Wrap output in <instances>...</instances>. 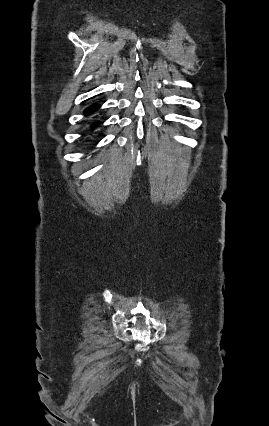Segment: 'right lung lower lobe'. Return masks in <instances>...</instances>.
<instances>
[{"label":"right lung lower lobe","mask_w":269,"mask_h":426,"mask_svg":"<svg viewBox=\"0 0 269 426\" xmlns=\"http://www.w3.org/2000/svg\"><path fill=\"white\" fill-rule=\"evenodd\" d=\"M98 105H93L91 107H89L86 111L85 114H91L92 112H94L96 109H98ZM99 124V122L94 123V125L92 126V128H94L95 126H97Z\"/></svg>","instance_id":"right-lung-lower-lobe-1"}]
</instances>
